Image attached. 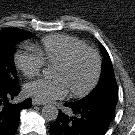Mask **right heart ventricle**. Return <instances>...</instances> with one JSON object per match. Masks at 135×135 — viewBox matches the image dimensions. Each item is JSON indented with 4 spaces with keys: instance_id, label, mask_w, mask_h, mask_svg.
<instances>
[{
    "instance_id": "1",
    "label": "right heart ventricle",
    "mask_w": 135,
    "mask_h": 135,
    "mask_svg": "<svg viewBox=\"0 0 135 135\" xmlns=\"http://www.w3.org/2000/svg\"><path fill=\"white\" fill-rule=\"evenodd\" d=\"M87 47L88 45L84 41L74 36L54 34L42 38L35 51L39 53L44 63L55 65L73 50Z\"/></svg>"
}]
</instances>
